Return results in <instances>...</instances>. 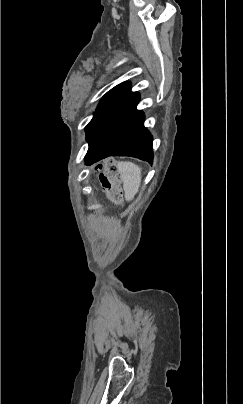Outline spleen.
<instances>
[{
  "instance_id": "3e777b00",
  "label": "spleen",
  "mask_w": 243,
  "mask_h": 404,
  "mask_svg": "<svg viewBox=\"0 0 243 404\" xmlns=\"http://www.w3.org/2000/svg\"><path fill=\"white\" fill-rule=\"evenodd\" d=\"M118 168L123 180V190L126 202L134 200L141 184V168L133 162H119Z\"/></svg>"
}]
</instances>
